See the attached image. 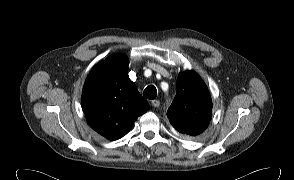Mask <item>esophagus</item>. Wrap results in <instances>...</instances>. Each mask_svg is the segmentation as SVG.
Here are the masks:
<instances>
[{
    "instance_id": "34e87169",
    "label": "esophagus",
    "mask_w": 294,
    "mask_h": 180,
    "mask_svg": "<svg viewBox=\"0 0 294 180\" xmlns=\"http://www.w3.org/2000/svg\"><path fill=\"white\" fill-rule=\"evenodd\" d=\"M151 105L153 106V107H159V105H160V101L159 100H152L151 101Z\"/></svg>"
}]
</instances>
